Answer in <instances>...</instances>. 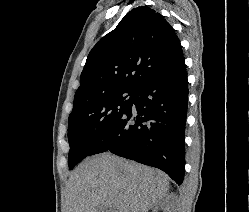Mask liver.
<instances>
[{"label": "liver", "instance_id": "6515ba94", "mask_svg": "<svg viewBox=\"0 0 249 212\" xmlns=\"http://www.w3.org/2000/svg\"><path fill=\"white\" fill-rule=\"evenodd\" d=\"M164 172L109 152L83 160L67 182L66 212H149L169 190Z\"/></svg>", "mask_w": 249, "mask_h": 212}]
</instances>
